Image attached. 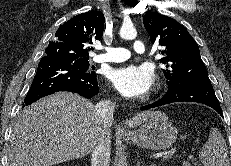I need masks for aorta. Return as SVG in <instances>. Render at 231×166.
Masks as SVG:
<instances>
[{
  "mask_svg": "<svg viewBox=\"0 0 231 166\" xmlns=\"http://www.w3.org/2000/svg\"><path fill=\"white\" fill-rule=\"evenodd\" d=\"M120 37L125 40H133L137 36V31L132 24H123L120 29Z\"/></svg>",
  "mask_w": 231,
  "mask_h": 166,
  "instance_id": "aorta-1",
  "label": "aorta"
}]
</instances>
